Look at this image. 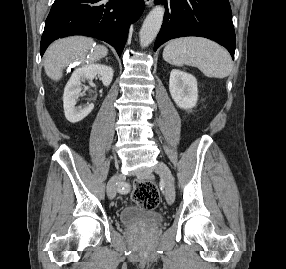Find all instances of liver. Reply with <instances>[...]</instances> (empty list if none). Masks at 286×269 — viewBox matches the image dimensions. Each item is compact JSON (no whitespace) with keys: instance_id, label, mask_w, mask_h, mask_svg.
<instances>
[{"instance_id":"1","label":"liver","mask_w":286,"mask_h":269,"mask_svg":"<svg viewBox=\"0 0 286 269\" xmlns=\"http://www.w3.org/2000/svg\"><path fill=\"white\" fill-rule=\"evenodd\" d=\"M91 50V52H89ZM108 49L103 45H96L91 38L67 37L54 42L47 50L44 69L46 75L54 81L62 77V71L73 61L82 64L96 62L105 57ZM86 54L89 58L86 60Z\"/></svg>"}]
</instances>
